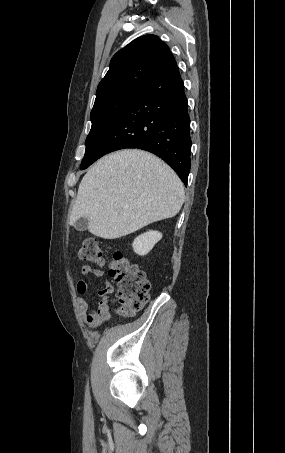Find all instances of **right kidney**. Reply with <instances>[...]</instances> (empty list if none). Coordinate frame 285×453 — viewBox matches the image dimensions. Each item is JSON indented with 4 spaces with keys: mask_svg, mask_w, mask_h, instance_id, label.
<instances>
[{
    "mask_svg": "<svg viewBox=\"0 0 285 453\" xmlns=\"http://www.w3.org/2000/svg\"><path fill=\"white\" fill-rule=\"evenodd\" d=\"M162 234L158 231H149L135 238L132 247L136 254L144 256L148 254L154 245L160 241Z\"/></svg>",
    "mask_w": 285,
    "mask_h": 453,
    "instance_id": "obj_1",
    "label": "right kidney"
}]
</instances>
